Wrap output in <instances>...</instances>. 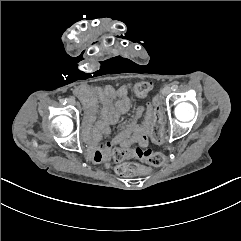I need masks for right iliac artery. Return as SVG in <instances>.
I'll return each mask as SVG.
<instances>
[{"instance_id": "82829eb1", "label": "right iliac artery", "mask_w": 241, "mask_h": 241, "mask_svg": "<svg viewBox=\"0 0 241 241\" xmlns=\"http://www.w3.org/2000/svg\"><path fill=\"white\" fill-rule=\"evenodd\" d=\"M60 103H61V104H66V100H65V99H61V100H60Z\"/></svg>"}]
</instances>
